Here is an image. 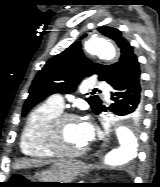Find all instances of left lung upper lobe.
Here are the masks:
<instances>
[{"label": "left lung upper lobe", "mask_w": 160, "mask_h": 187, "mask_svg": "<svg viewBox=\"0 0 160 187\" xmlns=\"http://www.w3.org/2000/svg\"><path fill=\"white\" fill-rule=\"evenodd\" d=\"M98 30L118 45L121 52L119 61L113 65L93 63L83 56L80 41L75 42L50 59L38 72L23 107V116L34 105L51 94L74 92L77 84L86 76L97 75L100 81H106L111 85L124 73L131 59L135 57L132 47L118 29L103 26ZM86 101L97 114L102 104L99 97L90 96L86 98ZM127 122L133 129H137L140 123L130 119H127Z\"/></svg>", "instance_id": "5c2ea615"}]
</instances>
